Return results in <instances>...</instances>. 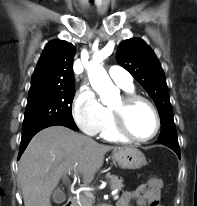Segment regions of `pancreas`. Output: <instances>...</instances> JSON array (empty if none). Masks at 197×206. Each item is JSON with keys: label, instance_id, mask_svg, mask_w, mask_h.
<instances>
[{"label": "pancreas", "instance_id": "pancreas-1", "mask_svg": "<svg viewBox=\"0 0 197 206\" xmlns=\"http://www.w3.org/2000/svg\"><path fill=\"white\" fill-rule=\"evenodd\" d=\"M110 179V186L111 189H118L121 190L123 185V179L118 178V176L111 175L108 177ZM80 206H92L93 205V195L91 193H85L84 195H81L79 198Z\"/></svg>", "mask_w": 197, "mask_h": 206}]
</instances>
